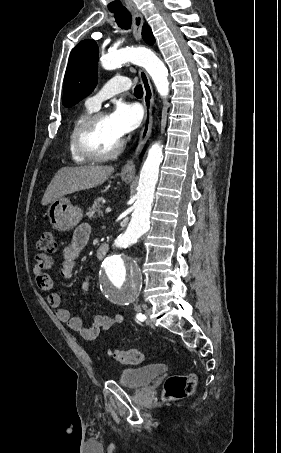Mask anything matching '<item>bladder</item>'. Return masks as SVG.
<instances>
[{
  "label": "bladder",
  "mask_w": 281,
  "mask_h": 453,
  "mask_svg": "<svg viewBox=\"0 0 281 453\" xmlns=\"http://www.w3.org/2000/svg\"><path fill=\"white\" fill-rule=\"evenodd\" d=\"M164 365H148L125 370L119 377V383L128 388H141L147 386L157 377L165 373Z\"/></svg>",
  "instance_id": "bladder-1"
}]
</instances>
